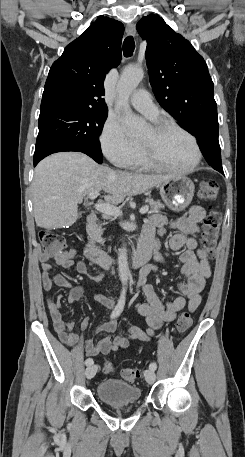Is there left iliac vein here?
<instances>
[{
	"instance_id": "left-iliac-vein-1",
	"label": "left iliac vein",
	"mask_w": 245,
	"mask_h": 457,
	"mask_svg": "<svg viewBox=\"0 0 245 457\" xmlns=\"http://www.w3.org/2000/svg\"><path fill=\"white\" fill-rule=\"evenodd\" d=\"M145 379L147 381V383L149 384H153L156 380V376H155V373H154V370L152 369H148L145 371Z\"/></svg>"
}]
</instances>
